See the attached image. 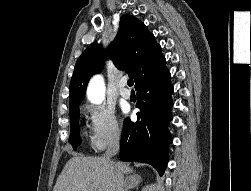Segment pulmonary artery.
I'll return each instance as SVG.
<instances>
[{"instance_id":"e3ab8cb5","label":"pulmonary artery","mask_w":251,"mask_h":191,"mask_svg":"<svg viewBox=\"0 0 251 191\" xmlns=\"http://www.w3.org/2000/svg\"><path fill=\"white\" fill-rule=\"evenodd\" d=\"M119 93L125 99H129L131 97V91L127 87V80L125 78H122L119 81Z\"/></svg>"}]
</instances>
